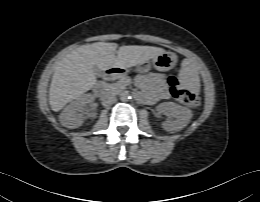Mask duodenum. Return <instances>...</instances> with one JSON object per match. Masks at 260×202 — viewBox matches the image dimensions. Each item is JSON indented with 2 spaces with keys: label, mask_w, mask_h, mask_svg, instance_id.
<instances>
[{
  "label": "duodenum",
  "mask_w": 260,
  "mask_h": 202,
  "mask_svg": "<svg viewBox=\"0 0 260 202\" xmlns=\"http://www.w3.org/2000/svg\"><path fill=\"white\" fill-rule=\"evenodd\" d=\"M124 73V71L120 68H117V67H111L109 68L106 72H105V80H112V79H115L116 77H119V76H122ZM96 89L97 90H100L101 89V86L100 85H97L96 86Z\"/></svg>",
  "instance_id": "1"
}]
</instances>
